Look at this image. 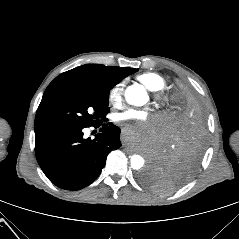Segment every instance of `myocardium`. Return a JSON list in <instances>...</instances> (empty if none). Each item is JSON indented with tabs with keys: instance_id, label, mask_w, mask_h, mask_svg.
Segmentation results:
<instances>
[{
	"instance_id": "obj_1",
	"label": "myocardium",
	"mask_w": 239,
	"mask_h": 239,
	"mask_svg": "<svg viewBox=\"0 0 239 239\" xmlns=\"http://www.w3.org/2000/svg\"><path fill=\"white\" fill-rule=\"evenodd\" d=\"M154 98L159 105H165L168 102V98L162 93L155 94Z\"/></svg>"
}]
</instances>
